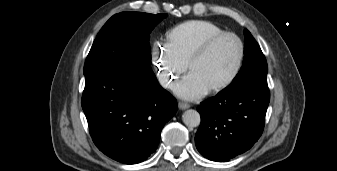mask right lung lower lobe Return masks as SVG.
I'll list each match as a JSON object with an SVG mask.
<instances>
[{
  "instance_id": "1",
  "label": "right lung lower lobe",
  "mask_w": 337,
  "mask_h": 171,
  "mask_svg": "<svg viewBox=\"0 0 337 171\" xmlns=\"http://www.w3.org/2000/svg\"><path fill=\"white\" fill-rule=\"evenodd\" d=\"M84 75L82 108L95 145L121 163L146 160L176 113V99L159 85L153 71L105 65Z\"/></svg>"
}]
</instances>
